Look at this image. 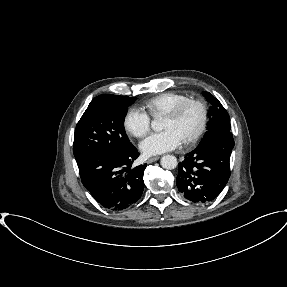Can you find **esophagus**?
I'll list each match as a JSON object with an SVG mask.
<instances>
[{"instance_id": "obj_1", "label": "esophagus", "mask_w": 287, "mask_h": 287, "mask_svg": "<svg viewBox=\"0 0 287 287\" xmlns=\"http://www.w3.org/2000/svg\"><path fill=\"white\" fill-rule=\"evenodd\" d=\"M159 158H160V156H154V157L148 158V159H147V163L155 162V161H157Z\"/></svg>"}]
</instances>
